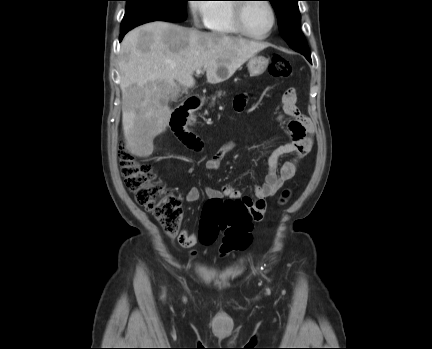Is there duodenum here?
<instances>
[{
  "label": "duodenum",
  "mask_w": 432,
  "mask_h": 349,
  "mask_svg": "<svg viewBox=\"0 0 432 349\" xmlns=\"http://www.w3.org/2000/svg\"><path fill=\"white\" fill-rule=\"evenodd\" d=\"M201 101L200 97H192L184 101L172 114L170 122L171 129L181 142L194 149H199L201 144L196 136L187 130V127L191 115L200 107Z\"/></svg>",
  "instance_id": "1"
}]
</instances>
